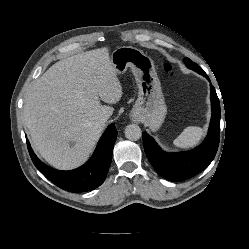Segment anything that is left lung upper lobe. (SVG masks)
<instances>
[{"instance_id": "5c2ea615", "label": "left lung upper lobe", "mask_w": 249, "mask_h": 249, "mask_svg": "<svg viewBox=\"0 0 249 249\" xmlns=\"http://www.w3.org/2000/svg\"><path fill=\"white\" fill-rule=\"evenodd\" d=\"M184 62L186 64V66L194 71H198L201 70L202 68L200 66H198L197 64H195L194 62H192L189 58H185Z\"/></svg>"}]
</instances>
